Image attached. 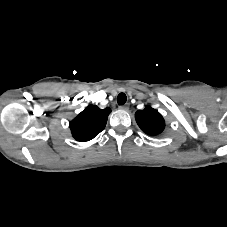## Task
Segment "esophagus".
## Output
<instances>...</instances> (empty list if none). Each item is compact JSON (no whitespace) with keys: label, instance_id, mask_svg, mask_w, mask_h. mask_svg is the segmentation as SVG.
<instances>
[{"label":"esophagus","instance_id":"34e87169","mask_svg":"<svg viewBox=\"0 0 227 227\" xmlns=\"http://www.w3.org/2000/svg\"><path fill=\"white\" fill-rule=\"evenodd\" d=\"M119 109L120 110H128L129 107L127 105H121V106H119Z\"/></svg>","mask_w":227,"mask_h":227}]
</instances>
